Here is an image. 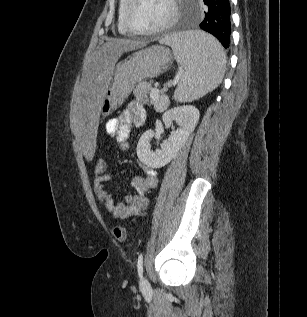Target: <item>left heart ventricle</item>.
<instances>
[{
    "label": "left heart ventricle",
    "mask_w": 307,
    "mask_h": 317,
    "mask_svg": "<svg viewBox=\"0 0 307 317\" xmlns=\"http://www.w3.org/2000/svg\"><path fill=\"white\" fill-rule=\"evenodd\" d=\"M171 14L169 0H136L131 7V25L138 30H149L165 23Z\"/></svg>",
    "instance_id": "left-heart-ventricle-1"
}]
</instances>
